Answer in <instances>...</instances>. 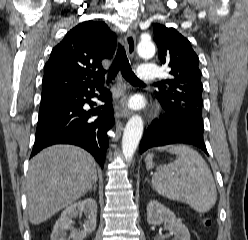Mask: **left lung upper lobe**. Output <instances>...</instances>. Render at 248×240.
Here are the masks:
<instances>
[{
  "label": "left lung upper lobe",
  "mask_w": 248,
  "mask_h": 240,
  "mask_svg": "<svg viewBox=\"0 0 248 240\" xmlns=\"http://www.w3.org/2000/svg\"><path fill=\"white\" fill-rule=\"evenodd\" d=\"M153 30L160 61L171 68L173 76L165 81L168 87H160L156 92L159 102L171 118H196L203 122V86L198 56L188 39L176 29L156 23Z\"/></svg>",
  "instance_id": "obj_1"
}]
</instances>
